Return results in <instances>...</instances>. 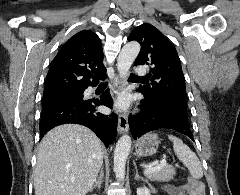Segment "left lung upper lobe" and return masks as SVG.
Listing matches in <instances>:
<instances>
[{"mask_svg":"<svg viewBox=\"0 0 240 195\" xmlns=\"http://www.w3.org/2000/svg\"><path fill=\"white\" fill-rule=\"evenodd\" d=\"M138 41L141 51L135 65H147L150 83L137 90L150 105H174L187 111L185 80L175 47L153 25L142 24L128 36Z\"/></svg>","mask_w":240,"mask_h":195,"instance_id":"5c2ea615","label":"left lung upper lobe"}]
</instances>
